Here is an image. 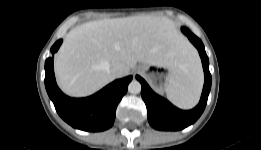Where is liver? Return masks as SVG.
Segmentation results:
<instances>
[{"label":"liver","instance_id":"liver-1","mask_svg":"<svg viewBox=\"0 0 261 150\" xmlns=\"http://www.w3.org/2000/svg\"><path fill=\"white\" fill-rule=\"evenodd\" d=\"M195 58L173 21L133 16L91 21L71 30L55 57V72L65 93L86 96L116 78L111 73L116 63L127 67L125 75L137 62L177 74Z\"/></svg>","mask_w":261,"mask_h":150}]
</instances>
